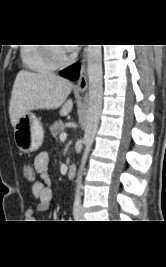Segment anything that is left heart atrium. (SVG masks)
<instances>
[{
  "label": "left heart atrium",
  "mask_w": 166,
  "mask_h": 267,
  "mask_svg": "<svg viewBox=\"0 0 166 267\" xmlns=\"http://www.w3.org/2000/svg\"><path fill=\"white\" fill-rule=\"evenodd\" d=\"M67 49L71 50L72 48L69 47V48H67Z\"/></svg>",
  "instance_id": "left-heart-atrium-1"
}]
</instances>
